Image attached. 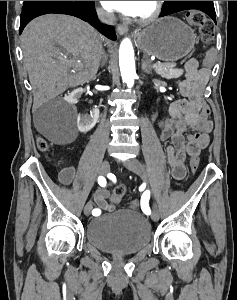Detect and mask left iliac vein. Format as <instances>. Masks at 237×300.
Instances as JSON below:
<instances>
[{"instance_id": "1", "label": "left iliac vein", "mask_w": 237, "mask_h": 300, "mask_svg": "<svg viewBox=\"0 0 237 300\" xmlns=\"http://www.w3.org/2000/svg\"><path fill=\"white\" fill-rule=\"evenodd\" d=\"M123 165L127 169H129V170L133 171L134 173H136L137 175H139L141 178H143V180H146L147 173H146L144 167L142 166V164L138 160L129 159V160L125 161L123 163ZM159 216H160V213H159L158 207L156 205H153L152 219L156 221L159 219Z\"/></svg>"}]
</instances>
